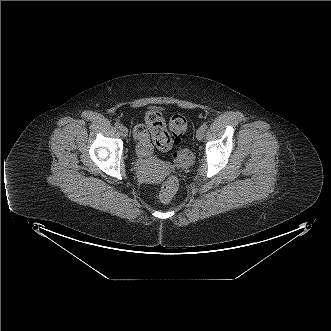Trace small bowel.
I'll use <instances>...</instances> for the list:
<instances>
[{"instance_id": "1", "label": "small bowel", "mask_w": 331, "mask_h": 331, "mask_svg": "<svg viewBox=\"0 0 331 331\" xmlns=\"http://www.w3.org/2000/svg\"><path fill=\"white\" fill-rule=\"evenodd\" d=\"M134 137L137 141V151H138V155L141 158H148L149 156H151L152 154V147L149 141V135H147V140L145 143L141 142V139L139 138V136L134 132Z\"/></svg>"}]
</instances>
